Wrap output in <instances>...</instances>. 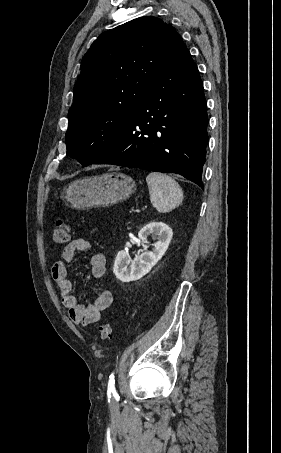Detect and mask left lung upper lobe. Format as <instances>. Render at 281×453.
I'll return each mask as SVG.
<instances>
[{
	"instance_id": "left-lung-upper-lobe-1",
	"label": "left lung upper lobe",
	"mask_w": 281,
	"mask_h": 453,
	"mask_svg": "<svg viewBox=\"0 0 281 453\" xmlns=\"http://www.w3.org/2000/svg\"><path fill=\"white\" fill-rule=\"evenodd\" d=\"M178 36L154 16L102 33L84 55L66 132L67 156L93 164L126 127Z\"/></svg>"
}]
</instances>
